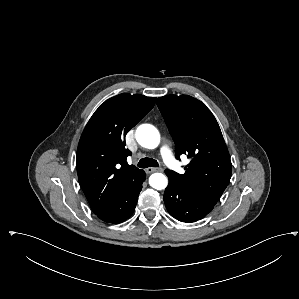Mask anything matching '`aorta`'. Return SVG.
I'll return each mask as SVG.
<instances>
[{
    "instance_id": "762f6f07",
    "label": "aorta",
    "mask_w": 299,
    "mask_h": 299,
    "mask_svg": "<svg viewBox=\"0 0 299 299\" xmlns=\"http://www.w3.org/2000/svg\"><path fill=\"white\" fill-rule=\"evenodd\" d=\"M136 140L142 147L154 149L160 143V134L153 125L142 124L136 130ZM149 184L156 190H162L167 187L168 179L162 173H154L149 177Z\"/></svg>"
}]
</instances>
